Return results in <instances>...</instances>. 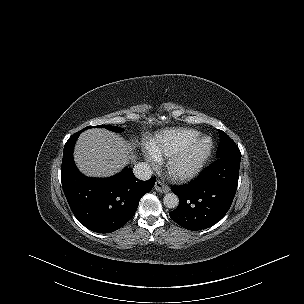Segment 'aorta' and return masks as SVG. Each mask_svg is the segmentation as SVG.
Segmentation results:
<instances>
[{
  "mask_svg": "<svg viewBox=\"0 0 304 304\" xmlns=\"http://www.w3.org/2000/svg\"><path fill=\"white\" fill-rule=\"evenodd\" d=\"M164 206L169 209H175L179 205V198L174 193H167L163 198Z\"/></svg>",
  "mask_w": 304,
  "mask_h": 304,
  "instance_id": "762f6f07",
  "label": "aorta"
}]
</instances>
